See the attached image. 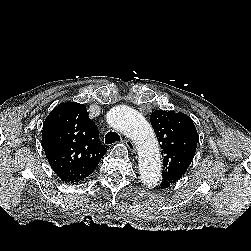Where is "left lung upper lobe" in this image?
Masks as SVG:
<instances>
[{"mask_svg": "<svg viewBox=\"0 0 251 251\" xmlns=\"http://www.w3.org/2000/svg\"><path fill=\"white\" fill-rule=\"evenodd\" d=\"M150 121L162 149V183L178 181L195 155L198 134L193 121L184 113L156 110Z\"/></svg>", "mask_w": 251, "mask_h": 251, "instance_id": "1", "label": "left lung upper lobe"}]
</instances>
